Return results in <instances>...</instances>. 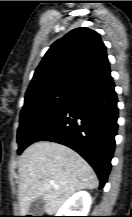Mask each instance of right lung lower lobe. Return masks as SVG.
<instances>
[{
  "mask_svg": "<svg viewBox=\"0 0 132 217\" xmlns=\"http://www.w3.org/2000/svg\"><path fill=\"white\" fill-rule=\"evenodd\" d=\"M113 79L76 95L37 141H51L78 152L95 170L103 188L111 169L117 134V95ZM36 141V142H37Z\"/></svg>",
  "mask_w": 132,
  "mask_h": 217,
  "instance_id": "98d812e1",
  "label": "right lung lower lobe"
}]
</instances>
